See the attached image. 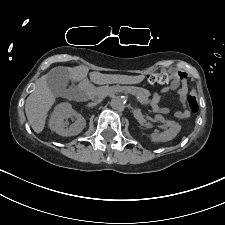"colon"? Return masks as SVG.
Instances as JSON below:
<instances>
[{
    "mask_svg": "<svg viewBox=\"0 0 225 225\" xmlns=\"http://www.w3.org/2000/svg\"><path fill=\"white\" fill-rule=\"evenodd\" d=\"M186 78L183 74H168V73H150L147 76L148 83L152 85L156 84H168L170 82L178 85L183 84ZM187 104L191 112L195 113L199 110V102L197 95L194 90H192L187 97Z\"/></svg>",
    "mask_w": 225,
    "mask_h": 225,
    "instance_id": "1",
    "label": "colon"
}]
</instances>
